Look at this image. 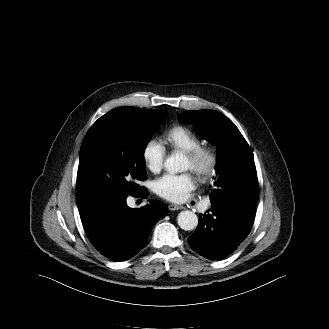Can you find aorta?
I'll use <instances>...</instances> for the list:
<instances>
[{
	"label": "aorta",
	"instance_id": "obj_1",
	"mask_svg": "<svg viewBox=\"0 0 329 329\" xmlns=\"http://www.w3.org/2000/svg\"><path fill=\"white\" fill-rule=\"evenodd\" d=\"M165 168L171 174L187 170V158L182 153L172 154L164 163ZM178 225L185 231L193 230L198 225V217L192 211H182L177 217Z\"/></svg>",
	"mask_w": 329,
	"mask_h": 329
}]
</instances>
